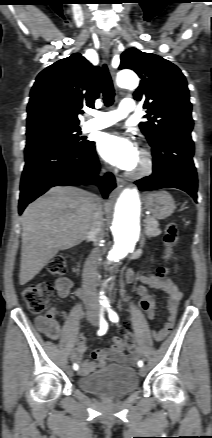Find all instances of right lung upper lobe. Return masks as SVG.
<instances>
[{
  "instance_id": "1",
  "label": "right lung upper lobe",
  "mask_w": 212,
  "mask_h": 438,
  "mask_svg": "<svg viewBox=\"0 0 212 438\" xmlns=\"http://www.w3.org/2000/svg\"><path fill=\"white\" fill-rule=\"evenodd\" d=\"M99 94L98 66L79 53L61 59L36 78L27 107V130L46 125L78 127L80 109L94 107Z\"/></svg>"
}]
</instances>
